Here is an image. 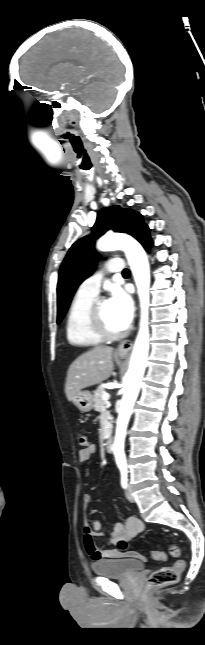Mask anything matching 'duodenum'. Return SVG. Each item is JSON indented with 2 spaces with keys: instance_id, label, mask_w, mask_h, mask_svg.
<instances>
[{
  "instance_id": "1",
  "label": "duodenum",
  "mask_w": 205,
  "mask_h": 645,
  "mask_svg": "<svg viewBox=\"0 0 205 645\" xmlns=\"http://www.w3.org/2000/svg\"><path fill=\"white\" fill-rule=\"evenodd\" d=\"M105 449L108 453L113 451V437L109 435L105 440Z\"/></svg>"
}]
</instances>
